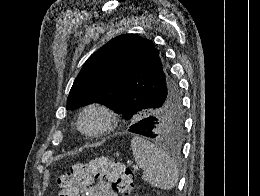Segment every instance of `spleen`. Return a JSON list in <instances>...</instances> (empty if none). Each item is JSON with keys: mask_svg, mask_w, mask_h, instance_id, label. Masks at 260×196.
Listing matches in <instances>:
<instances>
[{"mask_svg": "<svg viewBox=\"0 0 260 196\" xmlns=\"http://www.w3.org/2000/svg\"><path fill=\"white\" fill-rule=\"evenodd\" d=\"M133 158L144 170L142 180L161 190H172L178 182V170L174 160L166 152L141 136L131 140Z\"/></svg>", "mask_w": 260, "mask_h": 196, "instance_id": "obj_1", "label": "spleen"}]
</instances>
